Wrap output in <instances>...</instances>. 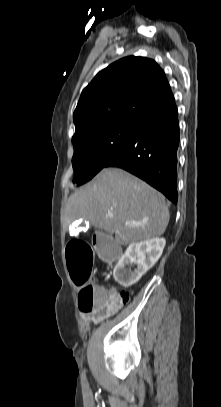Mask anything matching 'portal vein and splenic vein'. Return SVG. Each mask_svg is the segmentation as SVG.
<instances>
[{
  "label": "portal vein and splenic vein",
  "mask_w": 221,
  "mask_h": 407,
  "mask_svg": "<svg viewBox=\"0 0 221 407\" xmlns=\"http://www.w3.org/2000/svg\"><path fill=\"white\" fill-rule=\"evenodd\" d=\"M110 217H112V215H110ZM126 225H129V226H131L132 224H131V223H126Z\"/></svg>",
  "instance_id": "1"
}]
</instances>
